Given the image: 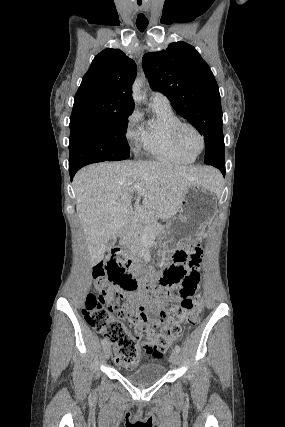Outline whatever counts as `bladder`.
I'll return each instance as SVG.
<instances>
[{
  "instance_id": "obj_1",
  "label": "bladder",
  "mask_w": 285,
  "mask_h": 427,
  "mask_svg": "<svg viewBox=\"0 0 285 427\" xmlns=\"http://www.w3.org/2000/svg\"><path fill=\"white\" fill-rule=\"evenodd\" d=\"M165 374V367L160 363L145 364L135 371L124 373L126 380L136 386H147L162 379Z\"/></svg>"
}]
</instances>
